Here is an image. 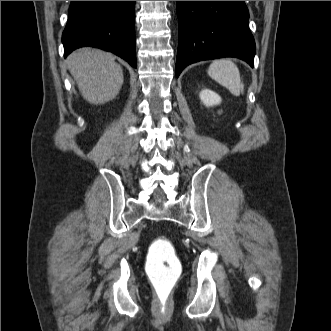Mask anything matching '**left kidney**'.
<instances>
[{"label": "left kidney", "instance_id": "5707ae66", "mask_svg": "<svg viewBox=\"0 0 331 331\" xmlns=\"http://www.w3.org/2000/svg\"><path fill=\"white\" fill-rule=\"evenodd\" d=\"M200 99L203 102V104L207 107L218 105L221 102L220 96L208 89H204L201 91Z\"/></svg>", "mask_w": 331, "mask_h": 331}]
</instances>
